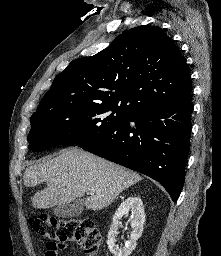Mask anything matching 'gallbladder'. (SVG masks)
Listing matches in <instances>:
<instances>
[{
  "label": "gallbladder",
  "mask_w": 221,
  "mask_h": 256,
  "mask_svg": "<svg viewBox=\"0 0 221 256\" xmlns=\"http://www.w3.org/2000/svg\"><path fill=\"white\" fill-rule=\"evenodd\" d=\"M84 210L83 199H76L71 204L58 205L53 209V214L57 217L70 218L79 216Z\"/></svg>",
  "instance_id": "1"
}]
</instances>
